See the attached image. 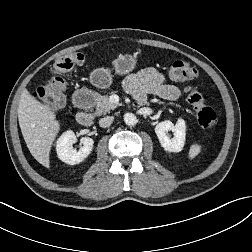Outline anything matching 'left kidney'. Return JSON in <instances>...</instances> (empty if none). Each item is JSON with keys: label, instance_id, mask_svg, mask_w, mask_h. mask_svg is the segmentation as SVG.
I'll use <instances>...</instances> for the list:
<instances>
[{"label": "left kidney", "instance_id": "obj_1", "mask_svg": "<svg viewBox=\"0 0 252 252\" xmlns=\"http://www.w3.org/2000/svg\"><path fill=\"white\" fill-rule=\"evenodd\" d=\"M168 131H172L173 137L170 138ZM186 125L183 119H178L176 125L171 121H163L156 125L155 133L161 146L169 152H180L185 143Z\"/></svg>", "mask_w": 252, "mask_h": 252}]
</instances>
